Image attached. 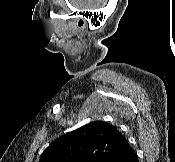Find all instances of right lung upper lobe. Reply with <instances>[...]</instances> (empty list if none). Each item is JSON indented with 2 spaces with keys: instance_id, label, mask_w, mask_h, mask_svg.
I'll return each mask as SVG.
<instances>
[{
  "instance_id": "1",
  "label": "right lung upper lobe",
  "mask_w": 175,
  "mask_h": 162,
  "mask_svg": "<svg viewBox=\"0 0 175 162\" xmlns=\"http://www.w3.org/2000/svg\"><path fill=\"white\" fill-rule=\"evenodd\" d=\"M131 149L116 126L94 121L53 141L39 162H113Z\"/></svg>"
}]
</instances>
